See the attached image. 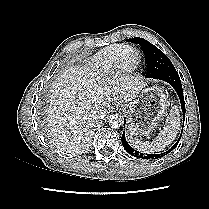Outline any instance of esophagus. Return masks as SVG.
Listing matches in <instances>:
<instances>
[{
    "label": "esophagus",
    "instance_id": "obj_1",
    "mask_svg": "<svg viewBox=\"0 0 209 209\" xmlns=\"http://www.w3.org/2000/svg\"><path fill=\"white\" fill-rule=\"evenodd\" d=\"M118 107H119L118 104L114 105V109H118Z\"/></svg>",
    "mask_w": 209,
    "mask_h": 209
}]
</instances>
